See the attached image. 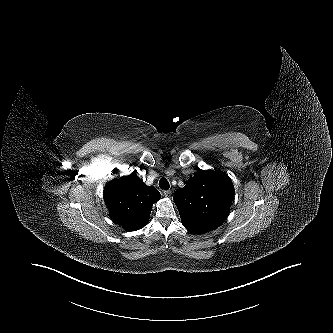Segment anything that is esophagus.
Returning <instances> with one entry per match:
<instances>
[{
  "label": "esophagus",
  "mask_w": 333,
  "mask_h": 333,
  "mask_svg": "<svg viewBox=\"0 0 333 333\" xmlns=\"http://www.w3.org/2000/svg\"><path fill=\"white\" fill-rule=\"evenodd\" d=\"M163 193H164L165 197H168V198H170L172 195V192L170 190H165Z\"/></svg>",
  "instance_id": "34e87169"
}]
</instances>
